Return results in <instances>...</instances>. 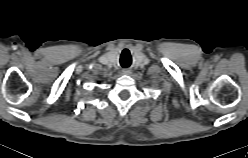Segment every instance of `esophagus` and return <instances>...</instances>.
<instances>
[{"mask_svg":"<svg viewBox=\"0 0 248 158\" xmlns=\"http://www.w3.org/2000/svg\"><path fill=\"white\" fill-rule=\"evenodd\" d=\"M122 74L129 75V74H131V71L129 69H124V70H122Z\"/></svg>","mask_w":248,"mask_h":158,"instance_id":"34e87169","label":"esophagus"}]
</instances>
